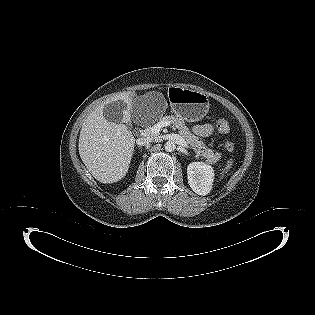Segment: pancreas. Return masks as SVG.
Masks as SVG:
<instances>
[{"mask_svg": "<svg viewBox=\"0 0 315 315\" xmlns=\"http://www.w3.org/2000/svg\"><path fill=\"white\" fill-rule=\"evenodd\" d=\"M160 121L170 122L176 129L179 130V134L186 140V142L197 152L198 155L206 159L207 163L214 164L221 158V153L215 152L212 149L206 148L203 140L192 134L189 128L185 125V121L174 115L164 116L159 119ZM145 134L149 137H155L151 133V127L145 130Z\"/></svg>", "mask_w": 315, "mask_h": 315, "instance_id": "obj_1", "label": "pancreas"}]
</instances>
